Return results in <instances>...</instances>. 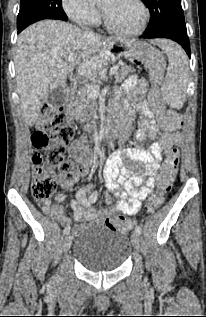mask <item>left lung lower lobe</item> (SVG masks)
Listing matches in <instances>:
<instances>
[{"mask_svg": "<svg viewBox=\"0 0 206 317\" xmlns=\"http://www.w3.org/2000/svg\"><path fill=\"white\" fill-rule=\"evenodd\" d=\"M140 38H167L174 40L184 48L187 55L190 57V45L187 36V30L177 28H165L153 33H145L144 35L140 36Z\"/></svg>", "mask_w": 206, "mask_h": 317, "instance_id": "left-lung-lower-lobe-1", "label": "left lung lower lobe"}]
</instances>
